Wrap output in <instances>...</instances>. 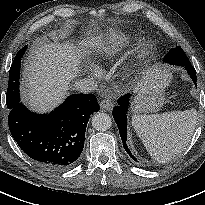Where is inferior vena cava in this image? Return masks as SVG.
<instances>
[{"mask_svg":"<svg viewBox=\"0 0 205 205\" xmlns=\"http://www.w3.org/2000/svg\"><path fill=\"white\" fill-rule=\"evenodd\" d=\"M77 91L90 93L97 88V83L92 78H83L74 84Z\"/></svg>","mask_w":205,"mask_h":205,"instance_id":"inferior-vena-cava-1","label":"inferior vena cava"}]
</instances>
